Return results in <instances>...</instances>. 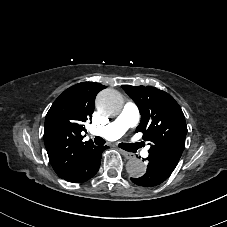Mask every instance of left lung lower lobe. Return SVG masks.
Here are the masks:
<instances>
[{"instance_id": "obj_1", "label": "left lung lower lobe", "mask_w": 227, "mask_h": 227, "mask_svg": "<svg viewBox=\"0 0 227 227\" xmlns=\"http://www.w3.org/2000/svg\"><path fill=\"white\" fill-rule=\"evenodd\" d=\"M147 160L149 164L146 174L140 178H131L134 183L140 186H156L166 180L175 169L172 165L163 163L154 157H148Z\"/></svg>"}]
</instances>
